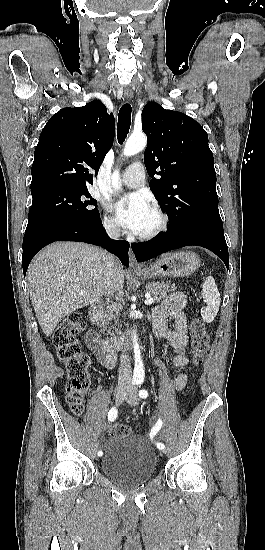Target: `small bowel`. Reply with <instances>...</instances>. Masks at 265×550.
I'll return each instance as SVG.
<instances>
[{"label": "small bowel", "mask_w": 265, "mask_h": 550, "mask_svg": "<svg viewBox=\"0 0 265 550\" xmlns=\"http://www.w3.org/2000/svg\"><path fill=\"white\" fill-rule=\"evenodd\" d=\"M185 305V296L180 292H175L156 306L152 313V332L174 349L173 364L177 368H184L189 363L185 353L188 345L187 319L183 311ZM169 319L174 322L173 328H169ZM85 343L96 354L102 366L108 369L115 366L117 359L115 351L103 347L93 333L86 334ZM157 366L163 370L158 363ZM187 381V375L183 372L179 373L174 379L175 389L183 390L187 385Z\"/></svg>", "instance_id": "small-bowel-1"}]
</instances>
